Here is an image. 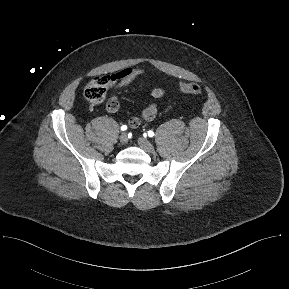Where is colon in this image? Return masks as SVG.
Masks as SVG:
<instances>
[{
  "label": "colon",
  "instance_id": "obj_1",
  "mask_svg": "<svg viewBox=\"0 0 289 289\" xmlns=\"http://www.w3.org/2000/svg\"><path fill=\"white\" fill-rule=\"evenodd\" d=\"M110 77H96L91 80L84 89L85 98L92 104H100L106 101V107L110 110L116 108V103L112 99H107ZM179 91L187 95H200L202 88L197 83H183Z\"/></svg>",
  "mask_w": 289,
  "mask_h": 289
}]
</instances>
